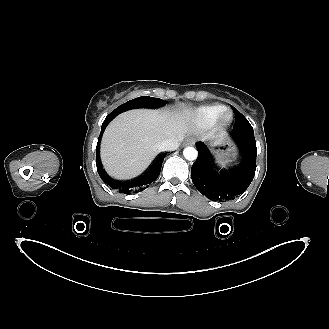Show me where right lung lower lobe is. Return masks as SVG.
<instances>
[{
  "instance_id": "1",
  "label": "right lung lower lobe",
  "mask_w": 329,
  "mask_h": 329,
  "mask_svg": "<svg viewBox=\"0 0 329 329\" xmlns=\"http://www.w3.org/2000/svg\"><path fill=\"white\" fill-rule=\"evenodd\" d=\"M114 118V117H113ZM112 117H106L102 124L100 136L98 139L97 147H96V165L97 171L103 180V182L109 185L112 189L118 190L119 193L130 194L132 192L142 191L147 188L152 182H154L161 171L162 163L165 157V153H161L158 157L153 161L150 167L139 177L130 181H118L106 174L104 169L102 168L100 157H99V149L100 142L103 135V132L109 122L113 119Z\"/></svg>"
}]
</instances>
